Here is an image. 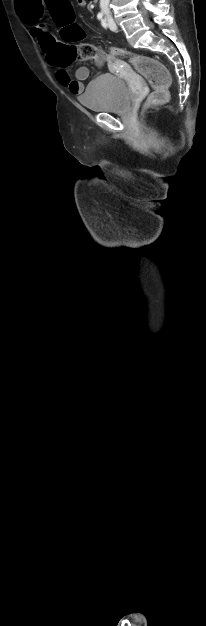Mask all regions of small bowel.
Instances as JSON below:
<instances>
[{"instance_id": "small-bowel-1", "label": "small bowel", "mask_w": 206, "mask_h": 626, "mask_svg": "<svg viewBox=\"0 0 206 626\" xmlns=\"http://www.w3.org/2000/svg\"><path fill=\"white\" fill-rule=\"evenodd\" d=\"M79 7H85L86 0H76ZM33 25L31 29L32 36L38 41L43 53L46 55L47 61L56 65L53 61L54 49L58 45L56 41L47 33V29L43 24L30 23ZM114 66L122 67V63L118 60L113 61ZM57 66V65H56ZM89 76V69L87 67H79L75 71L74 78H72L64 69H59L56 73V78L60 84L67 87L68 90L74 95H80L84 91L83 81Z\"/></svg>"}]
</instances>
